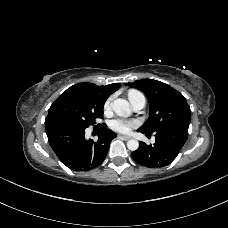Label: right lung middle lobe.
Instances as JSON below:
<instances>
[{
    "label": "right lung middle lobe",
    "mask_w": 228,
    "mask_h": 228,
    "mask_svg": "<svg viewBox=\"0 0 228 228\" xmlns=\"http://www.w3.org/2000/svg\"><path fill=\"white\" fill-rule=\"evenodd\" d=\"M106 98L90 90L73 85L63 92L51 105L47 121L62 120L87 128L103 118Z\"/></svg>",
    "instance_id": "obj_1"
}]
</instances>
